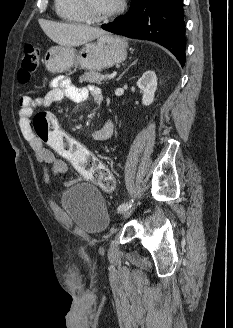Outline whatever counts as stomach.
<instances>
[{
  "mask_svg": "<svg viewBox=\"0 0 233 328\" xmlns=\"http://www.w3.org/2000/svg\"><path fill=\"white\" fill-rule=\"evenodd\" d=\"M127 56L126 41L116 35L105 33L95 42L74 47L54 46L45 54L44 63L51 73L66 71L78 64L83 69L100 71L123 62Z\"/></svg>",
  "mask_w": 233,
  "mask_h": 328,
  "instance_id": "1",
  "label": "stomach"
}]
</instances>
